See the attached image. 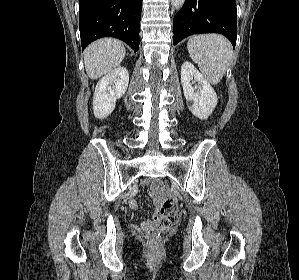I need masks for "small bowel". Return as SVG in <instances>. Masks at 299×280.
Instances as JSON below:
<instances>
[{"label":"small bowel","instance_id":"1","mask_svg":"<svg viewBox=\"0 0 299 280\" xmlns=\"http://www.w3.org/2000/svg\"><path fill=\"white\" fill-rule=\"evenodd\" d=\"M160 180H154L153 184H152V187L150 189V196L153 198L155 204L157 207H160L161 206V203H162V192L161 189H160ZM131 206L132 208L136 209V203L131 201ZM150 225V222L149 221H145L143 222V226L144 227H148Z\"/></svg>","mask_w":299,"mask_h":280}]
</instances>
